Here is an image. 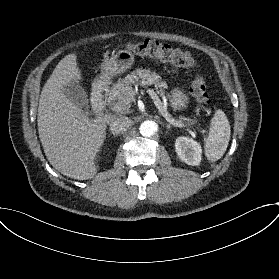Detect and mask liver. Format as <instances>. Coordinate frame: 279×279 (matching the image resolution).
Masks as SVG:
<instances>
[{
    "instance_id": "liver-1",
    "label": "liver",
    "mask_w": 279,
    "mask_h": 279,
    "mask_svg": "<svg viewBox=\"0 0 279 279\" xmlns=\"http://www.w3.org/2000/svg\"><path fill=\"white\" fill-rule=\"evenodd\" d=\"M85 79L77 54H69L56 66L40 95L38 134L49 163L66 177L90 180L98 173L96 158L104 145L106 128L114 116L90 120L68 98L65 89ZM98 83H111L99 77Z\"/></svg>"
}]
</instances>
